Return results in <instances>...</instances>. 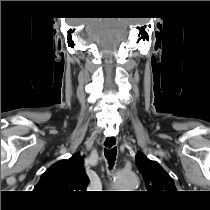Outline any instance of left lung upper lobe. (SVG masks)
I'll return each instance as SVG.
<instances>
[{"mask_svg": "<svg viewBox=\"0 0 210 210\" xmlns=\"http://www.w3.org/2000/svg\"><path fill=\"white\" fill-rule=\"evenodd\" d=\"M136 165L149 192L163 194L176 191L173 179L156 161H151L138 153Z\"/></svg>", "mask_w": 210, "mask_h": 210, "instance_id": "5c2ea615", "label": "left lung upper lobe"}]
</instances>
